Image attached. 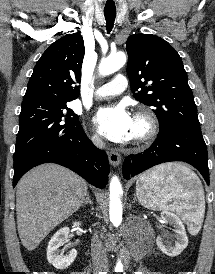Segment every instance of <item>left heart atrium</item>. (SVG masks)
<instances>
[{
	"label": "left heart atrium",
	"mask_w": 215,
	"mask_h": 274,
	"mask_svg": "<svg viewBox=\"0 0 215 274\" xmlns=\"http://www.w3.org/2000/svg\"><path fill=\"white\" fill-rule=\"evenodd\" d=\"M94 121L113 142H124L132 138L134 118L123 104L100 108Z\"/></svg>",
	"instance_id": "1"
}]
</instances>
